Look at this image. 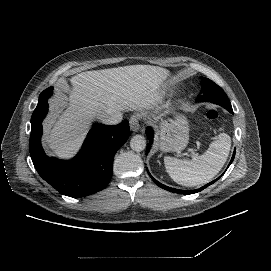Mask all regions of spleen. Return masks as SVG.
I'll return each mask as SVG.
<instances>
[{
  "instance_id": "3e777b00",
  "label": "spleen",
  "mask_w": 271,
  "mask_h": 271,
  "mask_svg": "<svg viewBox=\"0 0 271 271\" xmlns=\"http://www.w3.org/2000/svg\"><path fill=\"white\" fill-rule=\"evenodd\" d=\"M230 146V136L220 132L202 155L184 160L165 156L164 165L176 183L184 186L202 185L221 170L228 157Z\"/></svg>"
}]
</instances>
